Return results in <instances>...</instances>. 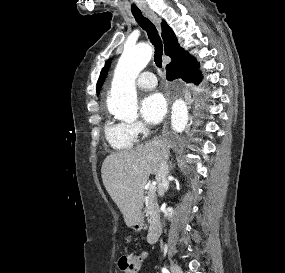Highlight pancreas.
I'll return each instance as SVG.
<instances>
[{
	"label": "pancreas",
	"mask_w": 285,
	"mask_h": 273,
	"mask_svg": "<svg viewBox=\"0 0 285 273\" xmlns=\"http://www.w3.org/2000/svg\"><path fill=\"white\" fill-rule=\"evenodd\" d=\"M157 212L156 206V194L155 190L148 191V199L146 202L145 213L147 217H153V215Z\"/></svg>",
	"instance_id": "obj_1"
}]
</instances>
